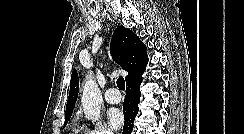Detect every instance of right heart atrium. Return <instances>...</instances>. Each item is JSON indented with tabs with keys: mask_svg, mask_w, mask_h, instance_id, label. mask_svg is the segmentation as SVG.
<instances>
[{
	"mask_svg": "<svg viewBox=\"0 0 244 134\" xmlns=\"http://www.w3.org/2000/svg\"><path fill=\"white\" fill-rule=\"evenodd\" d=\"M87 134H113V132L104 123L98 122L87 131Z\"/></svg>",
	"mask_w": 244,
	"mask_h": 134,
	"instance_id": "1",
	"label": "right heart atrium"
}]
</instances>
